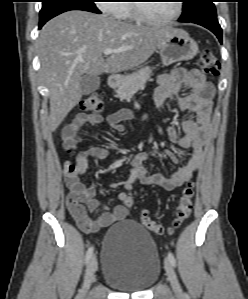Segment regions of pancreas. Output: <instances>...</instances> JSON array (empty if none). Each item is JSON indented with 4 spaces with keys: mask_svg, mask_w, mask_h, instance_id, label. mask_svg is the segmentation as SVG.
Instances as JSON below:
<instances>
[{
    "mask_svg": "<svg viewBox=\"0 0 248 299\" xmlns=\"http://www.w3.org/2000/svg\"><path fill=\"white\" fill-rule=\"evenodd\" d=\"M152 70L149 67L139 69L137 72L124 77L116 90L117 96L121 99H130L146 81L150 78Z\"/></svg>",
    "mask_w": 248,
    "mask_h": 299,
    "instance_id": "pancreas-1",
    "label": "pancreas"
}]
</instances>
